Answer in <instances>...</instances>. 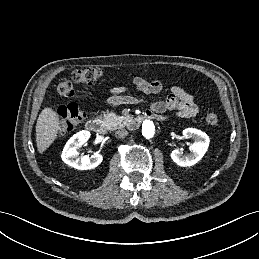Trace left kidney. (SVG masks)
I'll return each instance as SVG.
<instances>
[{
	"label": "left kidney",
	"mask_w": 259,
	"mask_h": 259,
	"mask_svg": "<svg viewBox=\"0 0 259 259\" xmlns=\"http://www.w3.org/2000/svg\"><path fill=\"white\" fill-rule=\"evenodd\" d=\"M182 133L185 138H192L194 140V143L190 146L191 153L184 156L179 150L175 149L171 152V158L181 167L193 166L207 152L210 140L207 134L196 128H186Z\"/></svg>",
	"instance_id": "obj_1"
}]
</instances>
